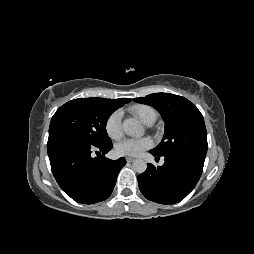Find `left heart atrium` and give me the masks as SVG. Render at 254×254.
Wrapping results in <instances>:
<instances>
[{"mask_svg": "<svg viewBox=\"0 0 254 254\" xmlns=\"http://www.w3.org/2000/svg\"><path fill=\"white\" fill-rule=\"evenodd\" d=\"M151 145L148 138H126L118 143L116 150L120 155L137 156Z\"/></svg>", "mask_w": 254, "mask_h": 254, "instance_id": "obj_1", "label": "left heart atrium"}]
</instances>
